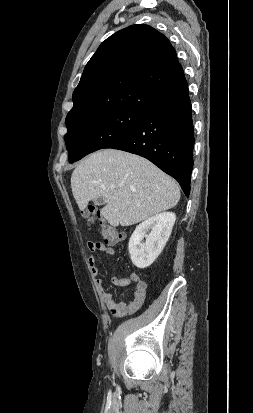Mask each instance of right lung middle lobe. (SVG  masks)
I'll use <instances>...</instances> for the list:
<instances>
[{
  "instance_id": "obj_1",
  "label": "right lung middle lobe",
  "mask_w": 253,
  "mask_h": 413,
  "mask_svg": "<svg viewBox=\"0 0 253 413\" xmlns=\"http://www.w3.org/2000/svg\"><path fill=\"white\" fill-rule=\"evenodd\" d=\"M145 112L116 109L100 112L66 124L64 136L69 152V162L80 160L85 155L106 148L133 130Z\"/></svg>"
}]
</instances>
